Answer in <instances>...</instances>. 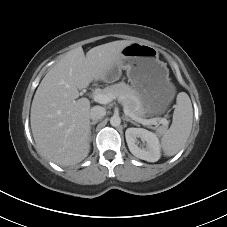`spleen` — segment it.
<instances>
[{
  "mask_svg": "<svg viewBox=\"0 0 227 227\" xmlns=\"http://www.w3.org/2000/svg\"><path fill=\"white\" fill-rule=\"evenodd\" d=\"M193 108L189 96L180 92L176 98L171 127L161 139V146L166 156L177 154L186 144L192 129Z\"/></svg>",
  "mask_w": 227,
  "mask_h": 227,
  "instance_id": "spleen-1",
  "label": "spleen"
}]
</instances>
